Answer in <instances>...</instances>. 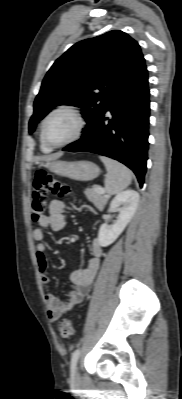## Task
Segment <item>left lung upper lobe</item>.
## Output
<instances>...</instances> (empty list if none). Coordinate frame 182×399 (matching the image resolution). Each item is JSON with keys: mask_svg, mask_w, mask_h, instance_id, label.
Here are the masks:
<instances>
[{"mask_svg": "<svg viewBox=\"0 0 182 399\" xmlns=\"http://www.w3.org/2000/svg\"><path fill=\"white\" fill-rule=\"evenodd\" d=\"M144 65L138 43L119 30L74 44L47 72L34 101L29 132L52 107L69 104L83 109L84 135L111 96Z\"/></svg>", "mask_w": 182, "mask_h": 399, "instance_id": "left-lung-upper-lobe-1", "label": "left lung upper lobe"}]
</instances>
